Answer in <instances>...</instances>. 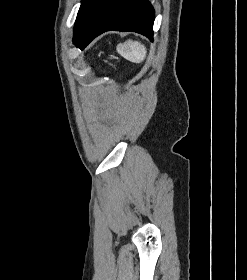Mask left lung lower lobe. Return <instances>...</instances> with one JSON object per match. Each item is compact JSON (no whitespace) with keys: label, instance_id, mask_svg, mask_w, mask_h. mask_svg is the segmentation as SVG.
Returning a JSON list of instances; mask_svg holds the SVG:
<instances>
[{"label":"left lung lower lobe","instance_id":"0a47b994","mask_svg":"<svg viewBox=\"0 0 247 280\" xmlns=\"http://www.w3.org/2000/svg\"><path fill=\"white\" fill-rule=\"evenodd\" d=\"M154 9L148 0H101L87 16L73 43L84 49L109 31H134L153 40Z\"/></svg>","mask_w":247,"mask_h":280}]
</instances>
